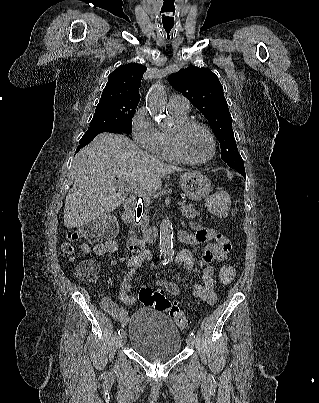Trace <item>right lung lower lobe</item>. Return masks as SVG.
I'll use <instances>...</instances> for the list:
<instances>
[{"label":"right lung lower lobe","instance_id":"obj_1","mask_svg":"<svg viewBox=\"0 0 319 403\" xmlns=\"http://www.w3.org/2000/svg\"><path fill=\"white\" fill-rule=\"evenodd\" d=\"M102 132H111V133H119L122 134L127 133L126 131H124L121 128H96V129H89L88 131H86V133L83 135V137L80 140V144L78 146V149L76 151H79V149H81L82 147H84L85 145L89 144L96 135H98L99 133Z\"/></svg>","mask_w":319,"mask_h":403}]
</instances>
